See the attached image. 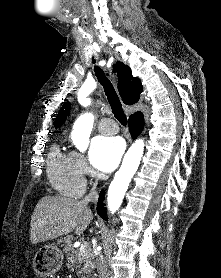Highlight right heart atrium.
I'll return each mask as SVG.
<instances>
[{
  "label": "right heart atrium",
  "mask_w": 221,
  "mask_h": 278,
  "mask_svg": "<svg viewBox=\"0 0 221 278\" xmlns=\"http://www.w3.org/2000/svg\"><path fill=\"white\" fill-rule=\"evenodd\" d=\"M72 156H73L75 165H76L77 170L79 171V173L83 177L89 175L90 170H89V167L87 165V162H86L84 156L77 151H73Z\"/></svg>",
  "instance_id": "right-heart-atrium-1"
}]
</instances>
